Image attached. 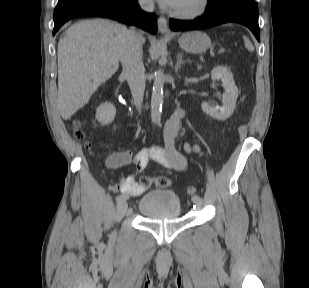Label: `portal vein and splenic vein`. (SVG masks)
<instances>
[{
  "mask_svg": "<svg viewBox=\"0 0 309 288\" xmlns=\"http://www.w3.org/2000/svg\"><path fill=\"white\" fill-rule=\"evenodd\" d=\"M224 52H225V49H224V48H221V49L218 50L217 54H222V53H224Z\"/></svg>",
  "mask_w": 309,
  "mask_h": 288,
  "instance_id": "1",
  "label": "portal vein and splenic vein"
}]
</instances>
